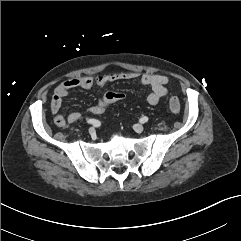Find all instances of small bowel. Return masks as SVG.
<instances>
[{"label": "small bowel", "instance_id": "small-bowel-1", "mask_svg": "<svg viewBox=\"0 0 241 241\" xmlns=\"http://www.w3.org/2000/svg\"><path fill=\"white\" fill-rule=\"evenodd\" d=\"M137 78H139L142 85L148 86L151 89V92L146 98L149 105H157L159 101L167 95V84L169 83V78L164 75L129 71L102 74L97 77L90 75L78 76L68 79L56 87L50 105L51 112L54 115V123L58 127H65L67 124L75 123L81 119V114L79 112H71L66 117L60 113L63 99L71 90L75 88L91 90L95 87L102 89L111 82L132 80ZM112 102L114 101H106L102 97L97 101V103L90 107L89 111L93 115H100Z\"/></svg>", "mask_w": 241, "mask_h": 241}]
</instances>
